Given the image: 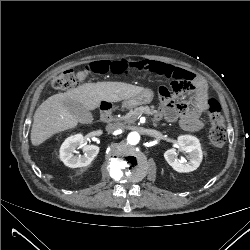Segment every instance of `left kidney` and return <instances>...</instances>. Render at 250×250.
Here are the masks:
<instances>
[{"label":"left kidney","mask_w":250,"mask_h":250,"mask_svg":"<svg viewBox=\"0 0 250 250\" xmlns=\"http://www.w3.org/2000/svg\"><path fill=\"white\" fill-rule=\"evenodd\" d=\"M179 150L188 154L189 160L177 159L175 148L168 149L164 153L167 163L177 172L188 173L196 170L202 161V150L198 138L191 135H181L178 137Z\"/></svg>","instance_id":"left-kidney-1"}]
</instances>
